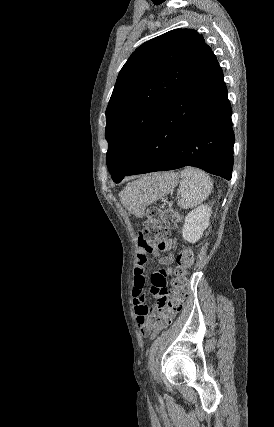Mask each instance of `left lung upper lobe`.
<instances>
[{"label": "left lung upper lobe", "mask_w": 274, "mask_h": 427, "mask_svg": "<svg viewBox=\"0 0 274 427\" xmlns=\"http://www.w3.org/2000/svg\"><path fill=\"white\" fill-rule=\"evenodd\" d=\"M211 52L197 31L175 29L132 53L106 109V163L112 178L136 161L166 107Z\"/></svg>", "instance_id": "obj_1"}]
</instances>
